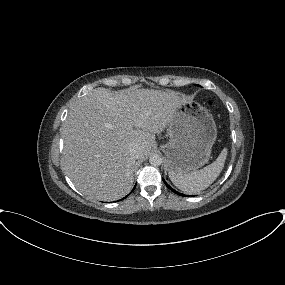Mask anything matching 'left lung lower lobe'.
I'll return each instance as SVG.
<instances>
[{"instance_id": "0a47b994", "label": "left lung lower lobe", "mask_w": 285, "mask_h": 285, "mask_svg": "<svg viewBox=\"0 0 285 285\" xmlns=\"http://www.w3.org/2000/svg\"><path fill=\"white\" fill-rule=\"evenodd\" d=\"M163 181H164V183L166 184V186H167L168 188H170L174 193H176V194H178V195H181V196H184V194H180V193L176 192L174 189H172V188L165 182L164 179H163Z\"/></svg>"}]
</instances>
